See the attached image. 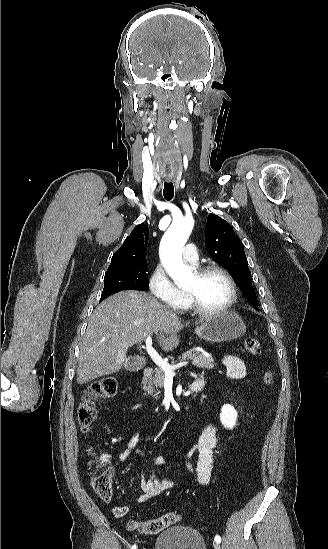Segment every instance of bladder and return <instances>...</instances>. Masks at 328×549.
Listing matches in <instances>:
<instances>
[{
    "instance_id": "31cf9c89",
    "label": "bladder",
    "mask_w": 328,
    "mask_h": 549,
    "mask_svg": "<svg viewBox=\"0 0 328 549\" xmlns=\"http://www.w3.org/2000/svg\"><path fill=\"white\" fill-rule=\"evenodd\" d=\"M155 549H205L200 532L192 527L178 526L158 534Z\"/></svg>"
}]
</instances>
